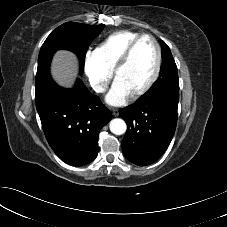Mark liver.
I'll return each mask as SVG.
<instances>
[{
    "mask_svg": "<svg viewBox=\"0 0 227 227\" xmlns=\"http://www.w3.org/2000/svg\"><path fill=\"white\" fill-rule=\"evenodd\" d=\"M77 62L73 53L64 50L58 51L52 61L51 75L53 79L61 86L71 87L78 72Z\"/></svg>",
    "mask_w": 227,
    "mask_h": 227,
    "instance_id": "6515ba94",
    "label": "liver"
}]
</instances>
